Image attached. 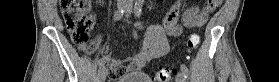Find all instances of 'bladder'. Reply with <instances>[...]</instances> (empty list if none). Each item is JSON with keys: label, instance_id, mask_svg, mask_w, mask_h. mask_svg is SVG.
<instances>
[{"label": "bladder", "instance_id": "bladder-1", "mask_svg": "<svg viewBox=\"0 0 279 82\" xmlns=\"http://www.w3.org/2000/svg\"><path fill=\"white\" fill-rule=\"evenodd\" d=\"M115 82H153L144 72H130L119 77Z\"/></svg>", "mask_w": 279, "mask_h": 82}]
</instances>
